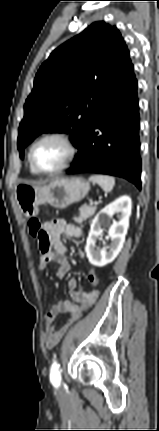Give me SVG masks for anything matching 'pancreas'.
<instances>
[{"instance_id": "obj_1", "label": "pancreas", "mask_w": 159, "mask_h": 431, "mask_svg": "<svg viewBox=\"0 0 159 431\" xmlns=\"http://www.w3.org/2000/svg\"><path fill=\"white\" fill-rule=\"evenodd\" d=\"M96 209V206L84 205L79 209V215L77 217H74L73 219L77 223H82L83 221L92 217L95 214Z\"/></svg>"}]
</instances>
